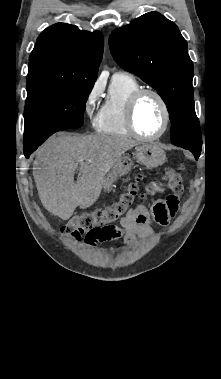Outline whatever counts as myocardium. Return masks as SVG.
Returning a JSON list of instances; mask_svg holds the SVG:
<instances>
[{"instance_id":"f54148a6","label":"myocardium","mask_w":221,"mask_h":379,"mask_svg":"<svg viewBox=\"0 0 221 379\" xmlns=\"http://www.w3.org/2000/svg\"><path fill=\"white\" fill-rule=\"evenodd\" d=\"M147 94L153 95L160 103L161 108L163 110L164 115V123L162 126V129L155 135L147 136L139 132L137 129L136 123H135V113L136 108L141 100V98ZM126 123L129 131L132 135L135 137L146 140V141H153L161 138L166 131L168 130L169 124H170V111L168 104L164 97L155 89L151 88H140L137 91H135L129 98L127 105H126Z\"/></svg>"}]
</instances>
